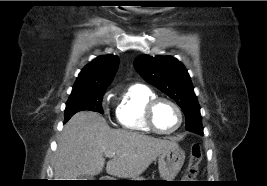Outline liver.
I'll use <instances>...</instances> for the list:
<instances>
[{
    "mask_svg": "<svg viewBox=\"0 0 267 186\" xmlns=\"http://www.w3.org/2000/svg\"><path fill=\"white\" fill-rule=\"evenodd\" d=\"M177 146L174 141L111 129L100 114L81 111L66 123L61 133L54 162L55 180L98 175L103 171L106 152H115L106 165L108 174L133 178L142 174L161 153Z\"/></svg>",
    "mask_w": 267,
    "mask_h": 186,
    "instance_id": "liver-1",
    "label": "liver"
}]
</instances>
